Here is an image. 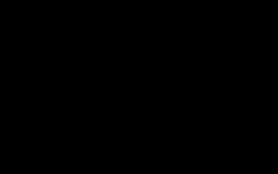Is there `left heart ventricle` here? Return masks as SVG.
Here are the masks:
<instances>
[{"instance_id": "1", "label": "left heart ventricle", "mask_w": 278, "mask_h": 174, "mask_svg": "<svg viewBox=\"0 0 278 174\" xmlns=\"http://www.w3.org/2000/svg\"><path fill=\"white\" fill-rule=\"evenodd\" d=\"M181 63V54L176 47L168 49L165 54L164 67L161 74L164 81H168L178 72Z\"/></svg>"}]
</instances>
